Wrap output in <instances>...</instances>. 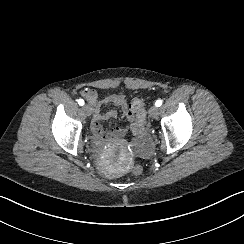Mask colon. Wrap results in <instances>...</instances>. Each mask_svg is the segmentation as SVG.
Listing matches in <instances>:
<instances>
[{
    "label": "colon",
    "mask_w": 244,
    "mask_h": 244,
    "mask_svg": "<svg viewBox=\"0 0 244 244\" xmlns=\"http://www.w3.org/2000/svg\"><path fill=\"white\" fill-rule=\"evenodd\" d=\"M90 93H91V91L87 92V94H90ZM130 109H131L133 116L136 118L133 128H132L133 132L136 135H141V134L145 133V131H146L145 123H146L147 114H146L145 104H144L143 99L137 98V99L133 100L130 105ZM133 171L135 174L140 175L143 173L144 168L142 165L137 164L134 166Z\"/></svg>",
    "instance_id": "1"
}]
</instances>
